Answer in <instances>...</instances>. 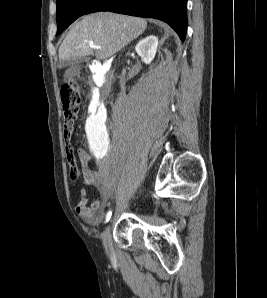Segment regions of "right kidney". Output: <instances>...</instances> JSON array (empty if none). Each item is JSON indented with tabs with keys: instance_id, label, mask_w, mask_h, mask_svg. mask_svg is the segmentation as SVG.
<instances>
[{
	"instance_id": "ca27d5eb",
	"label": "right kidney",
	"mask_w": 267,
	"mask_h": 298,
	"mask_svg": "<svg viewBox=\"0 0 267 298\" xmlns=\"http://www.w3.org/2000/svg\"><path fill=\"white\" fill-rule=\"evenodd\" d=\"M157 46L158 38L149 35L137 43L135 51L145 64H150L155 57Z\"/></svg>"
}]
</instances>
